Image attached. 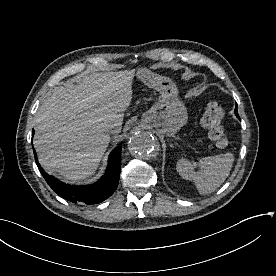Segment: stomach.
Returning a JSON list of instances; mask_svg holds the SVG:
<instances>
[{"label":"stomach","mask_w":276,"mask_h":276,"mask_svg":"<svg viewBox=\"0 0 276 276\" xmlns=\"http://www.w3.org/2000/svg\"><path fill=\"white\" fill-rule=\"evenodd\" d=\"M136 76L160 93L158 101L143 115L142 121L162 134L174 136L188 120L187 108L179 97L177 84L145 67L137 68Z\"/></svg>","instance_id":"obj_1"}]
</instances>
